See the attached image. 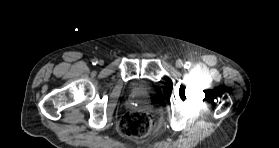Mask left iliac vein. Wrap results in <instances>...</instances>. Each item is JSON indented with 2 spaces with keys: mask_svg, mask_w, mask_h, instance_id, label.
<instances>
[{
  "mask_svg": "<svg viewBox=\"0 0 279 148\" xmlns=\"http://www.w3.org/2000/svg\"><path fill=\"white\" fill-rule=\"evenodd\" d=\"M176 65H177L178 68H181V67H183V62L181 60H178L176 62Z\"/></svg>",
  "mask_w": 279,
  "mask_h": 148,
  "instance_id": "1",
  "label": "left iliac vein"
}]
</instances>
